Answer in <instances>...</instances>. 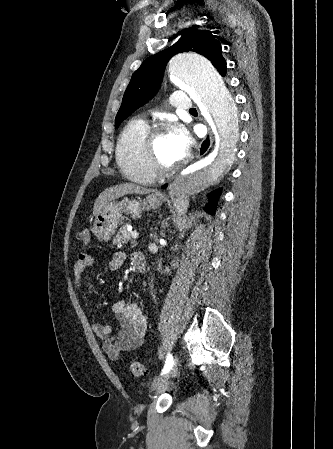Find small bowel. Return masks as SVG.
Segmentation results:
<instances>
[{"instance_id":"small-bowel-1","label":"small bowel","mask_w":333,"mask_h":449,"mask_svg":"<svg viewBox=\"0 0 333 449\" xmlns=\"http://www.w3.org/2000/svg\"><path fill=\"white\" fill-rule=\"evenodd\" d=\"M124 260L123 253H115L109 264L110 269L118 270ZM92 267H94L93 259L89 255L79 254L71 273L79 292H82L83 274ZM112 311L121 322V329L117 335H112V328L108 324L95 323L92 329L102 340V348L106 354L116 360L122 353L132 351L142 345L148 328V317L138 305L124 300L114 302Z\"/></svg>"}]
</instances>
